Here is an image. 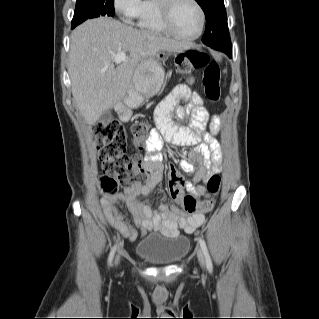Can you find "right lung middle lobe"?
Listing matches in <instances>:
<instances>
[{
	"label": "right lung middle lobe",
	"mask_w": 319,
	"mask_h": 319,
	"mask_svg": "<svg viewBox=\"0 0 319 319\" xmlns=\"http://www.w3.org/2000/svg\"><path fill=\"white\" fill-rule=\"evenodd\" d=\"M114 0H77L72 29L87 19L99 16H114Z\"/></svg>",
	"instance_id": "obj_1"
}]
</instances>
